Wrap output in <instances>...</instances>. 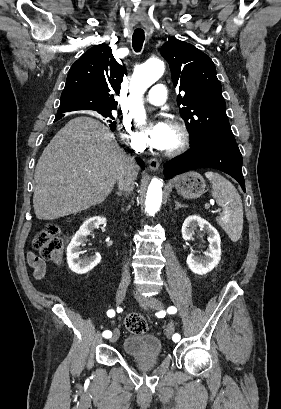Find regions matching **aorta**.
<instances>
[{
	"mask_svg": "<svg viewBox=\"0 0 281 409\" xmlns=\"http://www.w3.org/2000/svg\"><path fill=\"white\" fill-rule=\"evenodd\" d=\"M164 70L165 65L163 61L152 59L137 67L134 72L132 79L133 114L139 125L146 123V113L141 105V97L163 75ZM161 202L162 181L154 178L147 190L145 211L150 215H154L159 210Z\"/></svg>",
	"mask_w": 281,
	"mask_h": 409,
	"instance_id": "obj_1",
	"label": "aorta"
}]
</instances>
